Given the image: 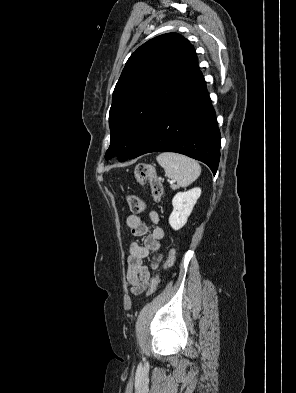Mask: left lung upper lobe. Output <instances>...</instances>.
Listing matches in <instances>:
<instances>
[{"label":"left lung upper lobe","instance_id":"left-lung-upper-lobe-1","mask_svg":"<svg viewBox=\"0 0 296 393\" xmlns=\"http://www.w3.org/2000/svg\"><path fill=\"white\" fill-rule=\"evenodd\" d=\"M194 47L177 33L150 39L128 59L113 92L105 158L127 160L165 107L199 73Z\"/></svg>","mask_w":296,"mask_h":393}]
</instances>
